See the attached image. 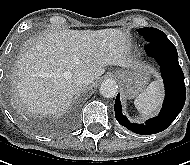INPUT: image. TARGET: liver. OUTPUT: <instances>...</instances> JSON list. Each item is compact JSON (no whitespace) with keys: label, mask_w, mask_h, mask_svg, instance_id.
Returning a JSON list of instances; mask_svg holds the SVG:
<instances>
[{"label":"liver","mask_w":190,"mask_h":165,"mask_svg":"<svg viewBox=\"0 0 190 165\" xmlns=\"http://www.w3.org/2000/svg\"><path fill=\"white\" fill-rule=\"evenodd\" d=\"M129 42L119 29L55 30L31 40L13 70L17 103L31 114L66 111L77 94L75 73L93 80L106 66L130 68Z\"/></svg>","instance_id":"6515ba94"}]
</instances>
